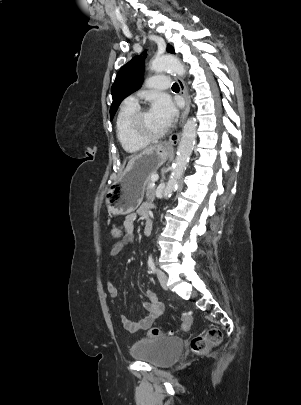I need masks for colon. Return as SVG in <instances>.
<instances>
[{
    "instance_id": "5ec220e1",
    "label": "colon",
    "mask_w": 301,
    "mask_h": 405,
    "mask_svg": "<svg viewBox=\"0 0 301 405\" xmlns=\"http://www.w3.org/2000/svg\"><path fill=\"white\" fill-rule=\"evenodd\" d=\"M107 234L109 236L117 237L119 234V229L115 224L113 223L109 224ZM191 323H192L191 316L185 314L183 316L182 328L184 330H187L190 327ZM166 334H167L166 332L157 328H152L148 331V337L150 338ZM222 339H223L222 332L217 328H211L207 330L205 333L196 335L191 338L190 341L191 351L197 355L207 354L212 348L218 346L222 342Z\"/></svg>"
}]
</instances>
